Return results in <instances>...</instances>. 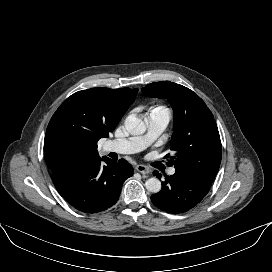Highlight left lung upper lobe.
Masks as SVG:
<instances>
[{"mask_svg":"<svg viewBox=\"0 0 272 272\" xmlns=\"http://www.w3.org/2000/svg\"><path fill=\"white\" fill-rule=\"evenodd\" d=\"M142 93L166 98L173 108L170 148L175 155L167 164L213 181L221 163L222 148L216 122L204 101L192 90L170 81L148 84Z\"/></svg>","mask_w":272,"mask_h":272,"instance_id":"1","label":"left lung upper lobe"}]
</instances>
